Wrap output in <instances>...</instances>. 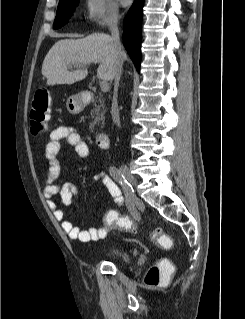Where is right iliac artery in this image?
<instances>
[{"label": "right iliac artery", "instance_id": "82829eb1", "mask_svg": "<svg viewBox=\"0 0 245 319\" xmlns=\"http://www.w3.org/2000/svg\"><path fill=\"white\" fill-rule=\"evenodd\" d=\"M110 175L111 177L118 182L124 189L125 192V202L126 205L128 207V209L131 211V213L133 215H136V209L134 207V194H133V188L132 186L127 182V180L125 179L124 175L121 173V171L116 168L115 166H111L109 169ZM112 192L114 193V195L119 196V198L123 201V197L121 195V191L119 190V188L117 187V185H115L114 182H112ZM111 192V194H112Z\"/></svg>", "mask_w": 245, "mask_h": 319}]
</instances>
